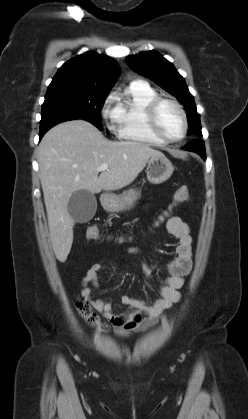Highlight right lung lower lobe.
Segmentation results:
<instances>
[{
  "instance_id": "98d812e1",
  "label": "right lung lower lobe",
  "mask_w": 248,
  "mask_h": 419,
  "mask_svg": "<svg viewBox=\"0 0 248 419\" xmlns=\"http://www.w3.org/2000/svg\"><path fill=\"white\" fill-rule=\"evenodd\" d=\"M74 119H78L75 117H61V118H55L52 120L47 121L44 124H41L40 126V134L39 137L40 139L43 137V135L53 126H55L56 124H59L61 122H65V121H69V120H74Z\"/></svg>"
}]
</instances>
